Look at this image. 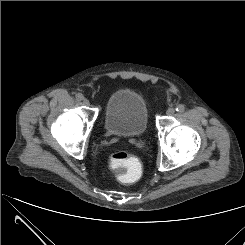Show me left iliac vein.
Here are the masks:
<instances>
[{"mask_svg": "<svg viewBox=\"0 0 245 245\" xmlns=\"http://www.w3.org/2000/svg\"><path fill=\"white\" fill-rule=\"evenodd\" d=\"M175 113V109L174 108H168L166 111V115L167 116H173Z\"/></svg>", "mask_w": 245, "mask_h": 245, "instance_id": "obj_1", "label": "left iliac vein"}]
</instances>
